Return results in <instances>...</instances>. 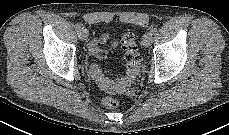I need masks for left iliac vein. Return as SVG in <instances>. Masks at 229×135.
Here are the masks:
<instances>
[{"label":"left iliac vein","mask_w":229,"mask_h":135,"mask_svg":"<svg viewBox=\"0 0 229 135\" xmlns=\"http://www.w3.org/2000/svg\"><path fill=\"white\" fill-rule=\"evenodd\" d=\"M153 38L152 35L148 32L142 37V45L149 47L152 44Z\"/></svg>","instance_id":"left-iliac-vein-1"}]
</instances>
